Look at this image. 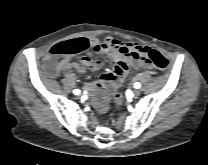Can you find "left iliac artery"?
Returning <instances> with one entry per match:
<instances>
[{"label": "left iliac artery", "instance_id": "1", "mask_svg": "<svg viewBox=\"0 0 208 165\" xmlns=\"http://www.w3.org/2000/svg\"><path fill=\"white\" fill-rule=\"evenodd\" d=\"M140 86H141V85H140V83H138V82L134 84V87L137 88V89L140 88Z\"/></svg>", "mask_w": 208, "mask_h": 165}]
</instances>
